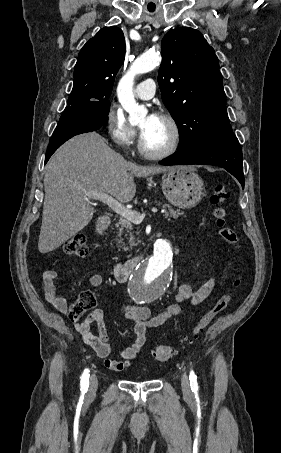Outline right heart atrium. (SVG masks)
Returning <instances> with one entry per match:
<instances>
[{"mask_svg":"<svg viewBox=\"0 0 281 453\" xmlns=\"http://www.w3.org/2000/svg\"><path fill=\"white\" fill-rule=\"evenodd\" d=\"M105 125L114 142L121 148L131 147L137 138V129L128 122L120 110L110 109L105 115ZM110 169L118 175L125 172V164L121 156H111Z\"/></svg>","mask_w":281,"mask_h":453,"instance_id":"d8ad5b80","label":"right heart atrium"}]
</instances>
